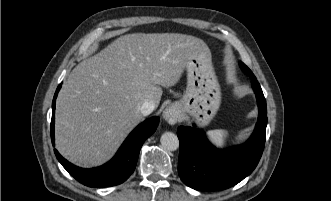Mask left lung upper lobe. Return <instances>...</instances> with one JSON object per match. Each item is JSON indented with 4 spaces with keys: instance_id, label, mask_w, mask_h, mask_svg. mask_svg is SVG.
Segmentation results:
<instances>
[{
    "instance_id": "1",
    "label": "left lung upper lobe",
    "mask_w": 331,
    "mask_h": 201,
    "mask_svg": "<svg viewBox=\"0 0 331 201\" xmlns=\"http://www.w3.org/2000/svg\"><path fill=\"white\" fill-rule=\"evenodd\" d=\"M240 66H241L242 70L244 72H246L250 77L254 76L253 73L251 72V70L244 63L240 62Z\"/></svg>"
}]
</instances>
